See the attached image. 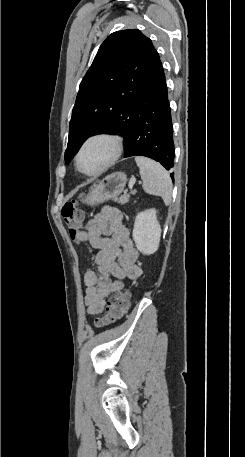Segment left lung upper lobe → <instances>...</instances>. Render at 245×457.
<instances>
[{
	"instance_id": "left-lung-upper-lobe-1",
	"label": "left lung upper lobe",
	"mask_w": 245,
	"mask_h": 457,
	"mask_svg": "<svg viewBox=\"0 0 245 457\" xmlns=\"http://www.w3.org/2000/svg\"><path fill=\"white\" fill-rule=\"evenodd\" d=\"M161 64L149 38L139 30L112 33L84 76L70 121L65 162L91 135L108 132L148 96Z\"/></svg>"
}]
</instances>
